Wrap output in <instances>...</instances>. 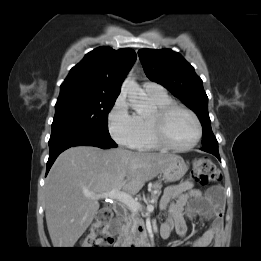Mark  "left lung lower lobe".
<instances>
[{
  "label": "left lung lower lobe",
  "mask_w": 261,
  "mask_h": 261,
  "mask_svg": "<svg viewBox=\"0 0 261 261\" xmlns=\"http://www.w3.org/2000/svg\"><path fill=\"white\" fill-rule=\"evenodd\" d=\"M201 150L213 154L214 156H216V157L220 160V156H219V152H218V147H214V146H212V147H210V146H204V147L201 148Z\"/></svg>",
  "instance_id": "0a47b994"
}]
</instances>
